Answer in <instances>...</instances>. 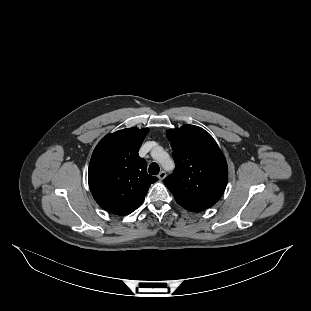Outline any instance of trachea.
Instances as JSON below:
<instances>
[{
	"instance_id": "3493384b",
	"label": "trachea",
	"mask_w": 311,
	"mask_h": 311,
	"mask_svg": "<svg viewBox=\"0 0 311 311\" xmlns=\"http://www.w3.org/2000/svg\"><path fill=\"white\" fill-rule=\"evenodd\" d=\"M159 170H160V168H159V165H158L157 163H152V164L149 166V169H148V171H149V173H150L151 175H157V174H159Z\"/></svg>"
}]
</instances>
